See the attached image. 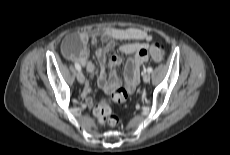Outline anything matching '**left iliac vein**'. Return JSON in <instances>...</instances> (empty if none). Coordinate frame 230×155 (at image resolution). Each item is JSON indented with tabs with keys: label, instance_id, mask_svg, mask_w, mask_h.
<instances>
[{
	"label": "left iliac vein",
	"instance_id": "1",
	"mask_svg": "<svg viewBox=\"0 0 230 155\" xmlns=\"http://www.w3.org/2000/svg\"><path fill=\"white\" fill-rule=\"evenodd\" d=\"M143 81H144L145 83H148V82L150 81V74L145 73V74L143 75Z\"/></svg>",
	"mask_w": 230,
	"mask_h": 155
}]
</instances>
